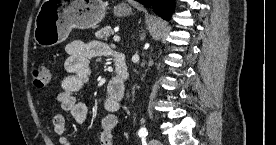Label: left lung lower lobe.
<instances>
[{
  "mask_svg": "<svg viewBox=\"0 0 276 145\" xmlns=\"http://www.w3.org/2000/svg\"><path fill=\"white\" fill-rule=\"evenodd\" d=\"M141 4L150 7L153 4L154 11L162 18L169 20L174 8L173 0H136Z\"/></svg>",
  "mask_w": 276,
  "mask_h": 145,
  "instance_id": "0a47b994",
  "label": "left lung lower lobe"
}]
</instances>
